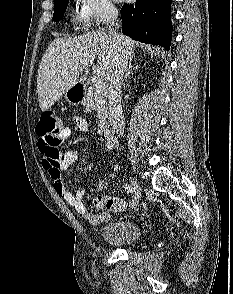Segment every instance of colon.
I'll return each instance as SVG.
<instances>
[{
	"label": "colon",
	"instance_id": "5ec220e1",
	"mask_svg": "<svg viewBox=\"0 0 233 294\" xmlns=\"http://www.w3.org/2000/svg\"><path fill=\"white\" fill-rule=\"evenodd\" d=\"M62 120L54 110L44 111L36 125V133L39 136L40 150L47 156H59L58 145L62 140ZM105 207L110 210H121L123 204L115 199H109Z\"/></svg>",
	"mask_w": 233,
	"mask_h": 294
}]
</instances>
